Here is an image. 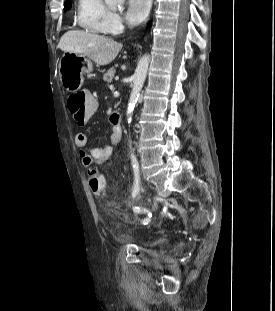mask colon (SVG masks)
<instances>
[{"label":"colon","instance_id":"5ec220e1","mask_svg":"<svg viewBox=\"0 0 275 311\" xmlns=\"http://www.w3.org/2000/svg\"><path fill=\"white\" fill-rule=\"evenodd\" d=\"M67 106L73 120L76 122V129H85L90 117L96 116L97 103L95 97H92L91 92H78L70 95ZM88 182L94 194H105V178L98 169L92 168L88 171Z\"/></svg>","mask_w":275,"mask_h":311}]
</instances>
